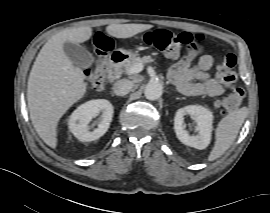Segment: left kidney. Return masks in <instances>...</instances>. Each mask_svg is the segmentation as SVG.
<instances>
[{
    "label": "left kidney",
    "instance_id": "1",
    "mask_svg": "<svg viewBox=\"0 0 270 213\" xmlns=\"http://www.w3.org/2000/svg\"><path fill=\"white\" fill-rule=\"evenodd\" d=\"M190 115L196 122L198 134L191 136L184 128V115ZM213 114L210 110L189 105L177 110L174 117V130L177 138L185 145L196 149H205L211 141Z\"/></svg>",
    "mask_w": 270,
    "mask_h": 213
}]
</instances>
